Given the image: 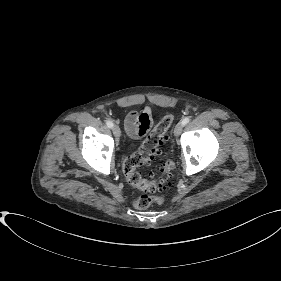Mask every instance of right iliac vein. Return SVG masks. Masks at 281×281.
Segmentation results:
<instances>
[{"mask_svg": "<svg viewBox=\"0 0 281 281\" xmlns=\"http://www.w3.org/2000/svg\"><path fill=\"white\" fill-rule=\"evenodd\" d=\"M112 131H113V134H114V136H115L116 138H119V137H120L121 131H120L119 126L114 125V126L112 127Z\"/></svg>", "mask_w": 281, "mask_h": 281, "instance_id": "right-iliac-vein-1", "label": "right iliac vein"}]
</instances>
